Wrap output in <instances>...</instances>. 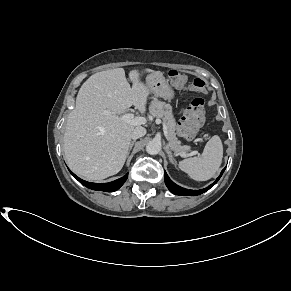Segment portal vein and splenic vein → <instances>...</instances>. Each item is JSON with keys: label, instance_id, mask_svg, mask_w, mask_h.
Segmentation results:
<instances>
[{"label": "portal vein and splenic vein", "instance_id": "obj_1", "mask_svg": "<svg viewBox=\"0 0 291 291\" xmlns=\"http://www.w3.org/2000/svg\"><path fill=\"white\" fill-rule=\"evenodd\" d=\"M105 114H110V112L109 111H105ZM122 119L125 122H129V123H132L134 125H142V124L146 123V119L144 117H134V114H130V113L124 114L122 116ZM156 123L163 125L164 135H165L166 139L168 140V130H167V126H166L165 122L161 121L160 119H157ZM196 154H199L198 151H193V152L187 154V156H193V155H196ZM182 156H186V155L182 154Z\"/></svg>", "mask_w": 291, "mask_h": 291}]
</instances>
